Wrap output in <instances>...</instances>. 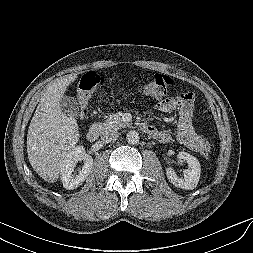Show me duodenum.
<instances>
[{
    "label": "duodenum",
    "mask_w": 253,
    "mask_h": 253,
    "mask_svg": "<svg viewBox=\"0 0 253 253\" xmlns=\"http://www.w3.org/2000/svg\"><path fill=\"white\" fill-rule=\"evenodd\" d=\"M144 130L148 132L149 128L148 126L144 127ZM100 129L97 125H91L87 132V139L91 142L96 141L99 138Z\"/></svg>",
    "instance_id": "1"
}]
</instances>
